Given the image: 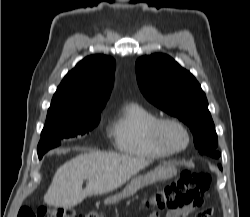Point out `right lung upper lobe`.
Instances as JSON below:
<instances>
[{
    "label": "right lung upper lobe",
    "instance_id": "cb5924a9",
    "mask_svg": "<svg viewBox=\"0 0 250 217\" xmlns=\"http://www.w3.org/2000/svg\"><path fill=\"white\" fill-rule=\"evenodd\" d=\"M114 71L115 60L109 56L84 58L58 86L47 118L102 110L113 87Z\"/></svg>",
    "mask_w": 250,
    "mask_h": 217
}]
</instances>
